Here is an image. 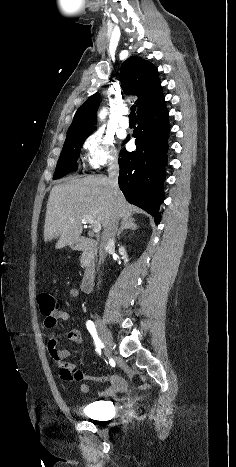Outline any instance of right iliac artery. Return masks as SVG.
Wrapping results in <instances>:
<instances>
[{"mask_svg": "<svg viewBox=\"0 0 236 467\" xmlns=\"http://www.w3.org/2000/svg\"><path fill=\"white\" fill-rule=\"evenodd\" d=\"M86 327H87L88 331L90 332V334L92 335V337L94 339L96 350H97L98 354L101 355V348L103 347V343L101 342L100 338L98 337V334H97L94 323L91 320H88L87 323H86Z\"/></svg>", "mask_w": 236, "mask_h": 467, "instance_id": "1", "label": "right iliac artery"}]
</instances>
